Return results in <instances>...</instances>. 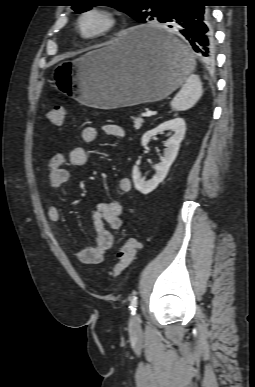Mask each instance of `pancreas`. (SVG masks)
<instances>
[{"instance_id":"cf45deb5","label":"pancreas","mask_w":255,"mask_h":387,"mask_svg":"<svg viewBox=\"0 0 255 387\" xmlns=\"http://www.w3.org/2000/svg\"><path fill=\"white\" fill-rule=\"evenodd\" d=\"M133 120H134V128L135 129H140L142 127V124H143L144 120L142 118H140V117L133 118Z\"/></svg>"}]
</instances>
